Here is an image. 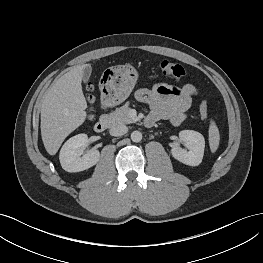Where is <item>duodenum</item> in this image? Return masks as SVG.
Returning a JSON list of instances; mask_svg holds the SVG:
<instances>
[{
	"label": "duodenum",
	"instance_id": "obj_1",
	"mask_svg": "<svg viewBox=\"0 0 263 263\" xmlns=\"http://www.w3.org/2000/svg\"><path fill=\"white\" fill-rule=\"evenodd\" d=\"M103 106L107 107L106 104H103ZM109 124V119L104 117L101 118L100 120H98L95 124H94V130L97 133H102L107 129V126ZM146 124H147V120H146ZM149 125H153L151 124V122H149Z\"/></svg>",
	"mask_w": 263,
	"mask_h": 263
}]
</instances>
